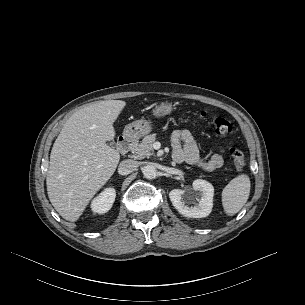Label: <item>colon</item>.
<instances>
[{"label":"colon","instance_id":"5ec220e1","mask_svg":"<svg viewBox=\"0 0 305 305\" xmlns=\"http://www.w3.org/2000/svg\"><path fill=\"white\" fill-rule=\"evenodd\" d=\"M196 115L198 118L203 119L205 118L206 113L204 111H197ZM212 125L215 133L221 137H226L231 134V123L225 118H214L212 121ZM229 153L234 161L236 171L241 172L245 167V158L243 152L237 148L232 147L230 148Z\"/></svg>","mask_w":305,"mask_h":305}]
</instances>
